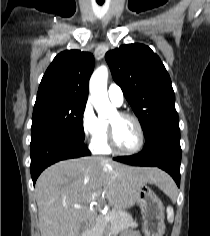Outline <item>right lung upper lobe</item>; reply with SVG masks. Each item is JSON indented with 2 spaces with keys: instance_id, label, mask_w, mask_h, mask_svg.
Instances as JSON below:
<instances>
[{
  "instance_id": "cb5924a9",
  "label": "right lung upper lobe",
  "mask_w": 210,
  "mask_h": 236,
  "mask_svg": "<svg viewBox=\"0 0 210 236\" xmlns=\"http://www.w3.org/2000/svg\"><path fill=\"white\" fill-rule=\"evenodd\" d=\"M94 69L91 53L67 50L58 54L39 85L36 102L71 98L87 101L88 82Z\"/></svg>"
}]
</instances>
